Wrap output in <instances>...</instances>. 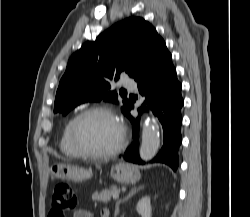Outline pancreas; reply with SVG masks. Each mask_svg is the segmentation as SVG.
Returning <instances> with one entry per match:
<instances>
[{
	"label": "pancreas",
	"instance_id": "1",
	"mask_svg": "<svg viewBox=\"0 0 250 217\" xmlns=\"http://www.w3.org/2000/svg\"><path fill=\"white\" fill-rule=\"evenodd\" d=\"M120 189L117 186H112L108 189L102 190L100 193H94L92 195V199L96 202H102V203H107L111 200V197L119 193Z\"/></svg>",
	"mask_w": 250,
	"mask_h": 217
}]
</instances>
